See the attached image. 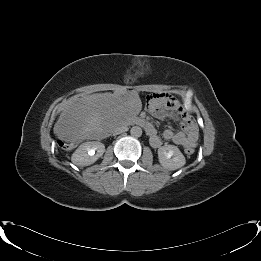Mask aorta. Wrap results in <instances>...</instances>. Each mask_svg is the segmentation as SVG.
<instances>
[{
    "mask_svg": "<svg viewBox=\"0 0 261 261\" xmlns=\"http://www.w3.org/2000/svg\"><path fill=\"white\" fill-rule=\"evenodd\" d=\"M131 136L138 138L142 135V128L139 126H133L130 130Z\"/></svg>",
    "mask_w": 261,
    "mask_h": 261,
    "instance_id": "762f6f07",
    "label": "aorta"
}]
</instances>
